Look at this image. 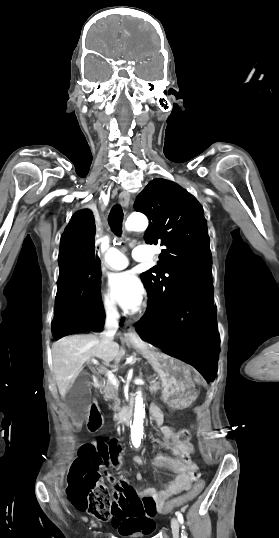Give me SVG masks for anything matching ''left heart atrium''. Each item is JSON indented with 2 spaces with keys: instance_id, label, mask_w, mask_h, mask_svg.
<instances>
[{
  "instance_id": "39dd6f15",
  "label": "left heart atrium",
  "mask_w": 279,
  "mask_h": 538,
  "mask_svg": "<svg viewBox=\"0 0 279 538\" xmlns=\"http://www.w3.org/2000/svg\"><path fill=\"white\" fill-rule=\"evenodd\" d=\"M109 288L115 299L128 311H135L142 304L144 286L131 270L110 275Z\"/></svg>"
}]
</instances>
